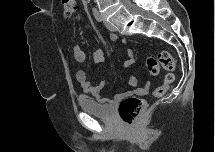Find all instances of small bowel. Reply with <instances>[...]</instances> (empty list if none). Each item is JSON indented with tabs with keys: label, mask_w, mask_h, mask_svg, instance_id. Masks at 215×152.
<instances>
[{
	"label": "small bowel",
	"mask_w": 215,
	"mask_h": 152,
	"mask_svg": "<svg viewBox=\"0 0 215 152\" xmlns=\"http://www.w3.org/2000/svg\"><path fill=\"white\" fill-rule=\"evenodd\" d=\"M110 40L113 42L118 41L119 37L116 34H111L109 36ZM123 44H126V40H122ZM72 52L74 59L77 62H83L85 60V52L84 50L76 43L73 44L72 46ZM105 53L102 49H98L93 53V61L95 63H103L105 61ZM135 60L132 57V52L129 50L127 54V60H126V65L127 66H132L134 65ZM76 80L80 84V87L83 91L84 94H88L93 96L96 100L100 102H106L107 99L103 98L101 96V91L103 90L105 83L104 81L99 82L96 85L91 84V82L88 79L87 73L83 70H79L76 73ZM129 85L133 88L132 94L136 95H143L146 94L149 90V83H145L142 86H138V80L135 76H131L129 78Z\"/></svg>",
	"instance_id": "c3829d8e"
}]
</instances>
